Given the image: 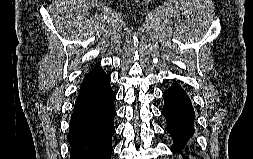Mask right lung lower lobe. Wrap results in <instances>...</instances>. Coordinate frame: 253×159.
I'll list each match as a JSON object with an SVG mask.
<instances>
[{
    "label": "right lung lower lobe",
    "mask_w": 253,
    "mask_h": 159,
    "mask_svg": "<svg viewBox=\"0 0 253 159\" xmlns=\"http://www.w3.org/2000/svg\"><path fill=\"white\" fill-rule=\"evenodd\" d=\"M110 81L100 67L85 76L67 136L71 159H111L116 95Z\"/></svg>",
    "instance_id": "right-lung-lower-lobe-1"
}]
</instances>
